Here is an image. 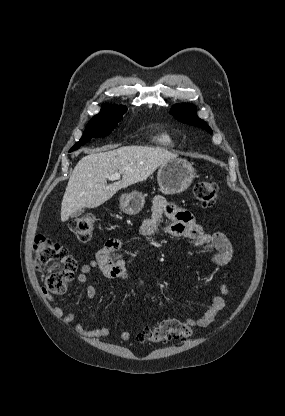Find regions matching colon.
<instances>
[{
	"mask_svg": "<svg viewBox=\"0 0 285 416\" xmlns=\"http://www.w3.org/2000/svg\"><path fill=\"white\" fill-rule=\"evenodd\" d=\"M218 187L213 181H200L195 184L193 194L201 204L210 206L216 202ZM97 219L87 214L72 220L69 228L82 242L89 241L95 230ZM36 269L45 274L46 289L55 294L65 292L68 283L77 270V262L61 244L38 235L34 243ZM192 334L191 327L177 319H166L158 326L138 335L142 342L167 343L186 339Z\"/></svg>",
	"mask_w": 285,
	"mask_h": 416,
	"instance_id": "obj_1",
	"label": "colon"
}]
</instances>
